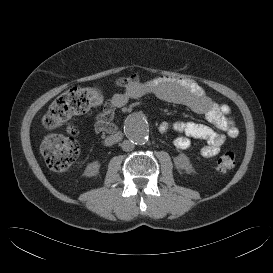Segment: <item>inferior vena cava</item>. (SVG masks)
Instances as JSON below:
<instances>
[{
	"instance_id": "1",
	"label": "inferior vena cava",
	"mask_w": 273,
	"mask_h": 273,
	"mask_svg": "<svg viewBox=\"0 0 273 273\" xmlns=\"http://www.w3.org/2000/svg\"><path fill=\"white\" fill-rule=\"evenodd\" d=\"M121 147L124 151L128 152V151H132L135 145L130 140H124L121 144Z\"/></svg>"
}]
</instances>
